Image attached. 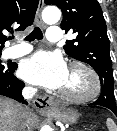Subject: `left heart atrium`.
Wrapping results in <instances>:
<instances>
[{
	"label": "left heart atrium",
	"instance_id": "left-heart-atrium-1",
	"mask_svg": "<svg viewBox=\"0 0 117 131\" xmlns=\"http://www.w3.org/2000/svg\"><path fill=\"white\" fill-rule=\"evenodd\" d=\"M68 68L58 53L39 51L20 65L21 77L29 83L59 89L65 83Z\"/></svg>",
	"mask_w": 117,
	"mask_h": 131
}]
</instances>
